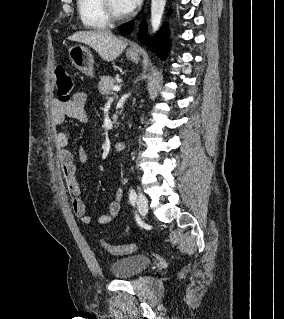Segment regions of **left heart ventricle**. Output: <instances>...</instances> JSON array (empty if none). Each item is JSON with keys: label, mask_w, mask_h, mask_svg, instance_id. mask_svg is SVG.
Instances as JSON below:
<instances>
[{"label": "left heart ventricle", "mask_w": 284, "mask_h": 319, "mask_svg": "<svg viewBox=\"0 0 284 319\" xmlns=\"http://www.w3.org/2000/svg\"><path fill=\"white\" fill-rule=\"evenodd\" d=\"M111 5L113 9L118 13V14H126V10L123 8L121 1L120 0H110Z\"/></svg>", "instance_id": "obj_1"}]
</instances>
